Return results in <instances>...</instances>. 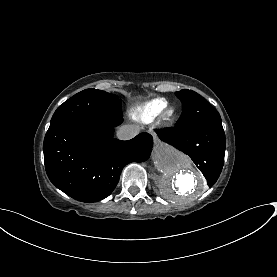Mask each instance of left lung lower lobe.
<instances>
[{"mask_svg":"<svg viewBox=\"0 0 277 277\" xmlns=\"http://www.w3.org/2000/svg\"><path fill=\"white\" fill-rule=\"evenodd\" d=\"M159 138L189 155L202 171L209 187L217 181L224 164L225 134L221 121L155 130Z\"/></svg>","mask_w":277,"mask_h":277,"instance_id":"left-lung-lower-lobe-1","label":"left lung lower lobe"}]
</instances>
